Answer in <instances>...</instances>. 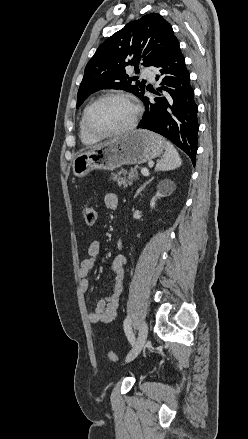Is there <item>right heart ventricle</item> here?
Here are the masks:
<instances>
[{
  "instance_id": "e07e8e85",
  "label": "right heart ventricle",
  "mask_w": 248,
  "mask_h": 439,
  "mask_svg": "<svg viewBox=\"0 0 248 439\" xmlns=\"http://www.w3.org/2000/svg\"><path fill=\"white\" fill-rule=\"evenodd\" d=\"M84 113L80 119L79 123V136L83 144L85 145H93L96 144L98 141H100L101 138H97L89 134L84 126V119H83Z\"/></svg>"
}]
</instances>
